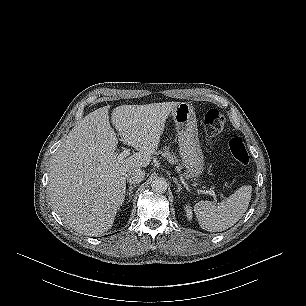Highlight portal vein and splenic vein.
I'll return each instance as SVG.
<instances>
[{
  "label": "portal vein and splenic vein",
  "instance_id": "18ae733b",
  "mask_svg": "<svg viewBox=\"0 0 306 306\" xmlns=\"http://www.w3.org/2000/svg\"><path fill=\"white\" fill-rule=\"evenodd\" d=\"M130 154V150L129 149H124L123 152H121L118 155V161H123V159L125 157H127ZM198 192L202 193V194H208L211 195L214 198V201H217V196L216 193L213 190H208V191H204V190H198Z\"/></svg>",
  "mask_w": 306,
  "mask_h": 306
}]
</instances>
